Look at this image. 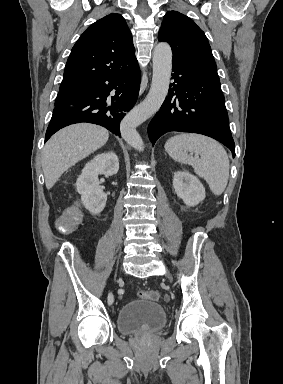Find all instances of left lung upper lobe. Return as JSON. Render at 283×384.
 Listing matches in <instances>:
<instances>
[{"instance_id": "5c2ea615", "label": "left lung upper lobe", "mask_w": 283, "mask_h": 384, "mask_svg": "<svg viewBox=\"0 0 283 384\" xmlns=\"http://www.w3.org/2000/svg\"><path fill=\"white\" fill-rule=\"evenodd\" d=\"M158 39L170 44L172 62L217 75L208 39L189 17L177 11H168L163 18Z\"/></svg>"}]
</instances>
